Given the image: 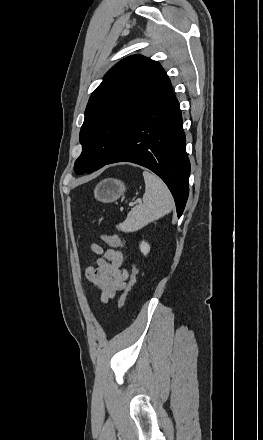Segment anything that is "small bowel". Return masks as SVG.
Instances as JSON below:
<instances>
[{"label":"small bowel","instance_id":"1","mask_svg":"<svg viewBox=\"0 0 263 440\" xmlns=\"http://www.w3.org/2000/svg\"><path fill=\"white\" fill-rule=\"evenodd\" d=\"M91 250L98 256L95 259L96 267L86 269V279L99 290L101 300L107 302L115 294L123 290L129 277L123 267V255L113 248H103L92 244Z\"/></svg>","mask_w":263,"mask_h":440}]
</instances>
